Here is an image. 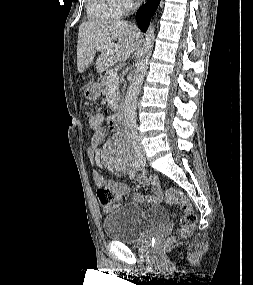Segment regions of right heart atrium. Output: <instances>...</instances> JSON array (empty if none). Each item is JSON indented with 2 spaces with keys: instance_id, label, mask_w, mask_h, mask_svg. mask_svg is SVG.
<instances>
[{
  "instance_id": "1",
  "label": "right heart atrium",
  "mask_w": 253,
  "mask_h": 285,
  "mask_svg": "<svg viewBox=\"0 0 253 285\" xmlns=\"http://www.w3.org/2000/svg\"><path fill=\"white\" fill-rule=\"evenodd\" d=\"M124 9H128L132 6L134 0H120Z\"/></svg>"
}]
</instances>
